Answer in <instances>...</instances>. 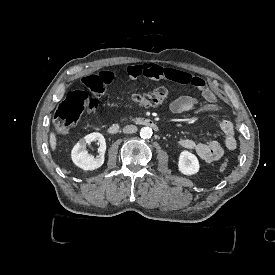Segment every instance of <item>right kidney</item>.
<instances>
[{"label": "right kidney", "mask_w": 275, "mask_h": 275, "mask_svg": "<svg viewBox=\"0 0 275 275\" xmlns=\"http://www.w3.org/2000/svg\"><path fill=\"white\" fill-rule=\"evenodd\" d=\"M96 140L100 145L99 151L103 154L106 150V142L103 135L98 132L85 135L74 145L71 151V159L77 167L85 171H92L104 164V156L102 154L96 158L86 150L87 144Z\"/></svg>", "instance_id": "1"}]
</instances>
